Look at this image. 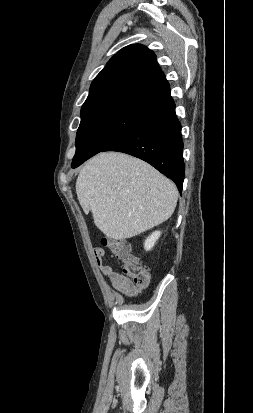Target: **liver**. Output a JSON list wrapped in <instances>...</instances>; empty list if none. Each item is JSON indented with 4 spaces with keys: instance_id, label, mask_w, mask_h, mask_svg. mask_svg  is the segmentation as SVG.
Instances as JSON below:
<instances>
[{
    "instance_id": "obj_1",
    "label": "liver",
    "mask_w": 253,
    "mask_h": 413,
    "mask_svg": "<svg viewBox=\"0 0 253 413\" xmlns=\"http://www.w3.org/2000/svg\"><path fill=\"white\" fill-rule=\"evenodd\" d=\"M76 193L85 214L107 237L123 240L169 219L176 207L175 184L146 162L102 152L80 170Z\"/></svg>"
}]
</instances>
